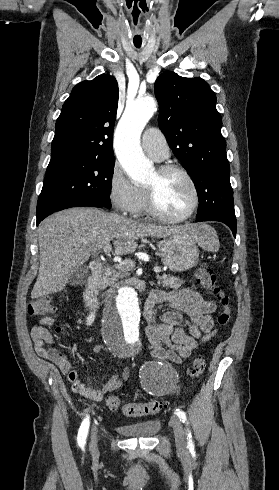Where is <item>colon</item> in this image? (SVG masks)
Instances as JSON below:
<instances>
[{
	"instance_id": "obj_1",
	"label": "colon",
	"mask_w": 279,
	"mask_h": 490,
	"mask_svg": "<svg viewBox=\"0 0 279 490\" xmlns=\"http://www.w3.org/2000/svg\"><path fill=\"white\" fill-rule=\"evenodd\" d=\"M196 277L201 287L215 296L221 302L218 320L221 325H225L230 321L231 308L228 304V298L217 284L216 279L209 268L201 266ZM29 314L31 316L49 318L55 313V308L48 297L38 298L32 301L29 305ZM206 367V361L203 357H197L192 362V374L200 376L203 374ZM105 405L109 410L115 411L120 408L125 416L139 417L155 415L166 407V402L158 399L142 402H122L121 399L114 395L108 394L105 397Z\"/></svg>"
}]
</instances>
